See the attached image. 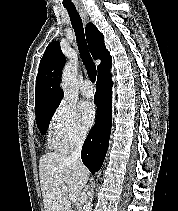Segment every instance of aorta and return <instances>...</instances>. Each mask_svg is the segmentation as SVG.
<instances>
[{
    "label": "aorta",
    "instance_id": "obj_1",
    "mask_svg": "<svg viewBox=\"0 0 178 211\" xmlns=\"http://www.w3.org/2000/svg\"><path fill=\"white\" fill-rule=\"evenodd\" d=\"M75 79L76 68L71 63H67L62 72L61 88L63 90L65 99L68 101L75 99L78 95L75 88ZM92 200L93 198L91 197L85 204L84 211H91L93 206Z\"/></svg>",
    "mask_w": 178,
    "mask_h": 211
}]
</instances>
